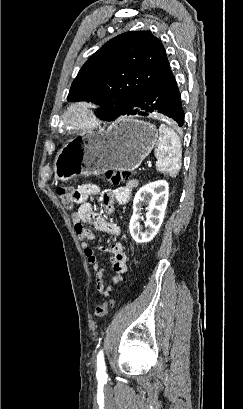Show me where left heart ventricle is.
<instances>
[{
  "instance_id": "obj_1",
  "label": "left heart ventricle",
  "mask_w": 243,
  "mask_h": 409,
  "mask_svg": "<svg viewBox=\"0 0 243 409\" xmlns=\"http://www.w3.org/2000/svg\"><path fill=\"white\" fill-rule=\"evenodd\" d=\"M82 123V120L78 117L70 118L67 122V125L70 127H76Z\"/></svg>"
}]
</instances>
